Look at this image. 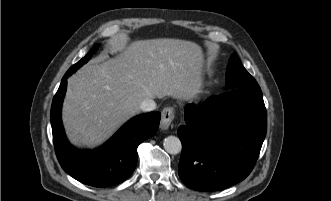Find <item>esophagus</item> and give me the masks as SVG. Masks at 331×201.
Masks as SVG:
<instances>
[{
  "mask_svg": "<svg viewBox=\"0 0 331 201\" xmlns=\"http://www.w3.org/2000/svg\"><path fill=\"white\" fill-rule=\"evenodd\" d=\"M175 117V110L173 107H166L162 111L160 128L167 130Z\"/></svg>",
  "mask_w": 331,
  "mask_h": 201,
  "instance_id": "esophagus-1",
  "label": "esophagus"
}]
</instances>
